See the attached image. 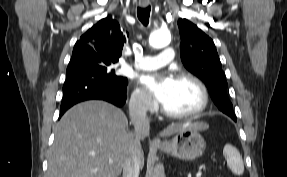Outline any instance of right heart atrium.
<instances>
[{
    "instance_id": "right-heart-atrium-1",
    "label": "right heart atrium",
    "mask_w": 287,
    "mask_h": 177,
    "mask_svg": "<svg viewBox=\"0 0 287 177\" xmlns=\"http://www.w3.org/2000/svg\"><path fill=\"white\" fill-rule=\"evenodd\" d=\"M151 97L140 87H135L130 97V109L133 114L145 115L154 111Z\"/></svg>"
}]
</instances>
